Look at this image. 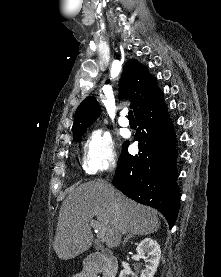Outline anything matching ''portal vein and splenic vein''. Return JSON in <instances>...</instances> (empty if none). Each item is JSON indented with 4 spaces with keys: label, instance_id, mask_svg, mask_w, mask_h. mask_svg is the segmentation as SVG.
Listing matches in <instances>:
<instances>
[{
    "label": "portal vein and splenic vein",
    "instance_id": "portal-vein-and-splenic-vein-1",
    "mask_svg": "<svg viewBox=\"0 0 221 277\" xmlns=\"http://www.w3.org/2000/svg\"><path fill=\"white\" fill-rule=\"evenodd\" d=\"M90 226L97 230V237H98L99 239H103V238H104V235H105L104 229H102V228L99 226V224H98L97 221L91 220V221H90Z\"/></svg>",
    "mask_w": 221,
    "mask_h": 277
}]
</instances>
